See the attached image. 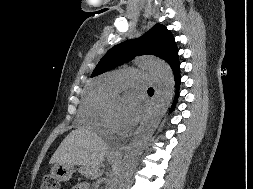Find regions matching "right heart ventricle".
Segmentation results:
<instances>
[{
  "instance_id": "e07e8e85",
  "label": "right heart ventricle",
  "mask_w": 253,
  "mask_h": 189,
  "mask_svg": "<svg viewBox=\"0 0 253 189\" xmlns=\"http://www.w3.org/2000/svg\"><path fill=\"white\" fill-rule=\"evenodd\" d=\"M107 82H99L87 92L79 112L80 124L97 133H104L106 128L107 99L112 93Z\"/></svg>"
}]
</instances>
